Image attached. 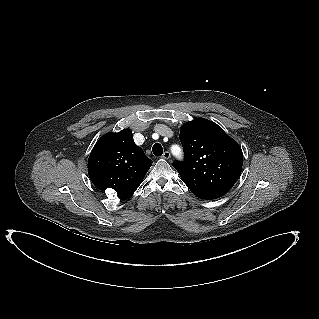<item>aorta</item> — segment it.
<instances>
[{"label":"aorta","instance_id":"762f6f07","mask_svg":"<svg viewBox=\"0 0 319 319\" xmlns=\"http://www.w3.org/2000/svg\"><path fill=\"white\" fill-rule=\"evenodd\" d=\"M175 150H178V158H179V160H183V154H182V150H181V148L179 147V146H177V145H175V146H173L172 147V152H174Z\"/></svg>","mask_w":319,"mask_h":319}]
</instances>
